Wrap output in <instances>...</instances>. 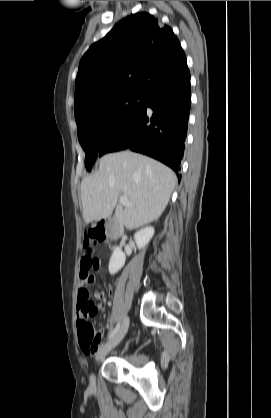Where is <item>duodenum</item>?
<instances>
[{"label": "duodenum", "instance_id": "1", "mask_svg": "<svg viewBox=\"0 0 271 418\" xmlns=\"http://www.w3.org/2000/svg\"><path fill=\"white\" fill-rule=\"evenodd\" d=\"M117 237H118V235H115V236H114V238H117Z\"/></svg>", "mask_w": 271, "mask_h": 418}]
</instances>
